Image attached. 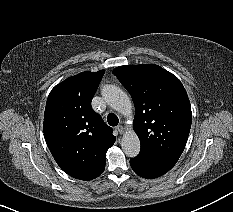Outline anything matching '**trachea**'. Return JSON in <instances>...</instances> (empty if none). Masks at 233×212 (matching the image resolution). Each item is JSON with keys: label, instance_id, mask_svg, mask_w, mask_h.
<instances>
[{"label": "trachea", "instance_id": "trachea-1", "mask_svg": "<svg viewBox=\"0 0 233 212\" xmlns=\"http://www.w3.org/2000/svg\"><path fill=\"white\" fill-rule=\"evenodd\" d=\"M107 122L110 126H116L119 122V119L115 114L110 113L107 116Z\"/></svg>", "mask_w": 233, "mask_h": 212}]
</instances>
